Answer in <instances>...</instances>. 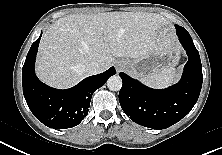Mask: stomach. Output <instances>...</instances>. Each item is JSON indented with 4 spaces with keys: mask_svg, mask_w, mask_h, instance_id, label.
Here are the masks:
<instances>
[{
    "mask_svg": "<svg viewBox=\"0 0 222 155\" xmlns=\"http://www.w3.org/2000/svg\"><path fill=\"white\" fill-rule=\"evenodd\" d=\"M179 55V46L166 26L162 25L148 54L140 59H127L123 61V66L131 75L145 77L173 68L178 63Z\"/></svg>",
    "mask_w": 222,
    "mask_h": 155,
    "instance_id": "0dacf381",
    "label": "stomach"
}]
</instances>
